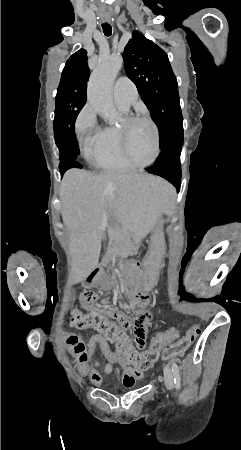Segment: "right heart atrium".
<instances>
[{"mask_svg":"<svg viewBox=\"0 0 241 450\" xmlns=\"http://www.w3.org/2000/svg\"><path fill=\"white\" fill-rule=\"evenodd\" d=\"M87 112L82 113L77 121V124L79 125L77 139L82 146L83 153L85 155H94L96 153L97 149V143H98V131L96 129V125H99L100 119L99 116H87ZM87 130L89 131L88 137H87ZM86 138L87 139H82Z\"/></svg>","mask_w":241,"mask_h":450,"instance_id":"d8ad5b80","label":"right heart atrium"}]
</instances>
